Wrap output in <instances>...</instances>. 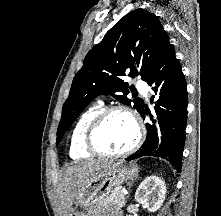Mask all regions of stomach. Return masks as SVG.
Here are the masks:
<instances>
[{
    "instance_id": "1",
    "label": "stomach",
    "mask_w": 221,
    "mask_h": 216,
    "mask_svg": "<svg viewBox=\"0 0 221 216\" xmlns=\"http://www.w3.org/2000/svg\"><path fill=\"white\" fill-rule=\"evenodd\" d=\"M137 174L136 165H128L123 161L112 163L83 186L74 201L80 210L72 209L68 216H88L96 205H104L105 198L112 193L114 188L133 179Z\"/></svg>"
}]
</instances>
